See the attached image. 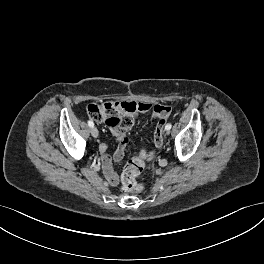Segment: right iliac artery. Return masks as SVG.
<instances>
[{
	"mask_svg": "<svg viewBox=\"0 0 264 264\" xmlns=\"http://www.w3.org/2000/svg\"><path fill=\"white\" fill-rule=\"evenodd\" d=\"M88 125H89L90 127H94V123H93V121L89 120V121H88Z\"/></svg>",
	"mask_w": 264,
	"mask_h": 264,
	"instance_id": "1",
	"label": "right iliac artery"
}]
</instances>
